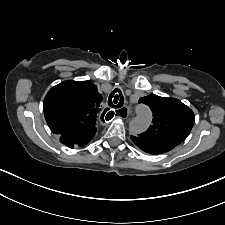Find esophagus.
<instances>
[{"label":"esophagus","instance_id":"obj_1","mask_svg":"<svg viewBox=\"0 0 225 225\" xmlns=\"http://www.w3.org/2000/svg\"><path fill=\"white\" fill-rule=\"evenodd\" d=\"M129 115H130V110L127 106H124L123 108L115 111V116L122 119L128 118Z\"/></svg>","mask_w":225,"mask_h":225}]
</instances>
